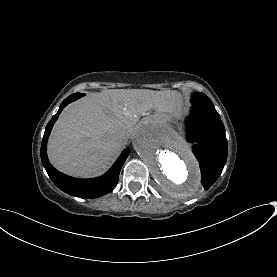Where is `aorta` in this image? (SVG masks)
<instances>
[{
	"instance_id": "aorta-1",
	"label": "aorta",
	"mask_w": 277,
	"mask_h": 277,
	"mask_svg": "<svg viewBox=\"0 0 277 277\" xmlns=\"http://www.w3.org/2000/svg\"><path fill=\"white\" fill-rule=\"evenodd\" d=\"M133 146L170 196L189 198L200 189L198 163L172 129L152 121L141 124L134 132Z\"/></svg>"
}]
</instances>
